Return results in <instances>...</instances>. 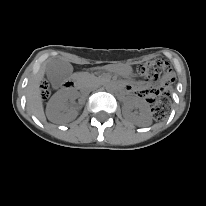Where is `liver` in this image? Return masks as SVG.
Returning a JSON list of instances; mask_svg holds the SVG:
<instances>
[{"mask_svg": "<svg viewBox=\"0 0 206 206\" xmlns=\"http://www.w3.org/2000/svg\"><path fill=\"white\" fill-rule=\"evenodd\" d=\"M49 61L43 64L37 74L29 81L27 86V109L42 122L46 121V116L44 113L43 101L41 97L40 83L44 78L46 64ZM76 116L77 113H73L65 108L60 113L55 114L53 118H50V121L53 123L64 124L72 121L76 118Z\"/></svg>", "mask_w": 206, "mask_h": 206, "instance_id": "liver-1", "label": "liver"}]
</instances>
